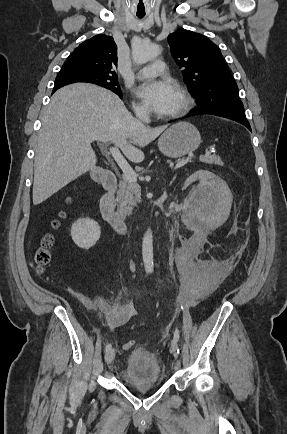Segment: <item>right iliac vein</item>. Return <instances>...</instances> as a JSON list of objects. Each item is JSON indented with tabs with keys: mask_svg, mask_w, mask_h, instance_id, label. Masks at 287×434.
I'll use <instances>...</instances> for the list:
<instances>
[{
	"mask_svg": "<svg viewBox=\"0 0 287 434\" xmlns=\"http://www.w3.org/2000/svg\"><path fill=\"white\" fill-rule=\"evenodd\" d=\"M115 357V350L110 349L105 355V363L107 365L111 364Z\"/></svg>",
	"mask_w": 287,
	"mask_h": 434,
	"instance_id": "63e3f726",
	"label": "right iliac vein"
}]
</instances>
